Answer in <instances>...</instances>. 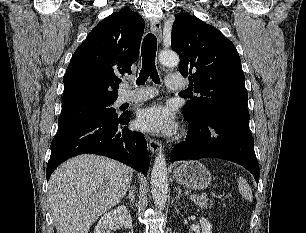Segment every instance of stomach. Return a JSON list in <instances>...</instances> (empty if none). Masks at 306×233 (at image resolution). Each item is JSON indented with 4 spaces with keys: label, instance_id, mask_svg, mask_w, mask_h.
Instances as JSON below:
<instances>
[{
    "label": "stomach",
    "instance_id": "0dacf381",
    "mask_svg": "<svg viewBox=\"0 0 306 233\" xmlns=\"http://www.w3.org/2000/svg\"><path fill=\"white\" fill-rule=\"evenodd\" d=\"M173 177L176 182L192 190H204L211 183L209 170L196 160L184 161L173 171Z\"/></svg>",
    "mask_w": 306,
    "mask_h": 233
}]
</instances>
